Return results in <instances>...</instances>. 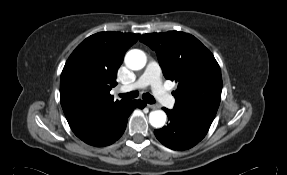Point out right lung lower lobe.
<instances>
[{
	"instance_id": "98d812e1",
	"label": "right lung lower lobe",
	"mask_w": 287,
	"mask_h": 175,
	"mask_svg": "<svg viewBox=\"0 0 287 175\" xmlns=\"http://www.w3.org/2000/svg\"><path fill=\"white\" fill-rule=\"evenodd\" d=\"M146 103L141 100H127L118 106L107 120L94 129L77 136L85 143L104 147L117 141L125 131L127 118L135 108H144Z\"/></svg>"
}]
</instances>
